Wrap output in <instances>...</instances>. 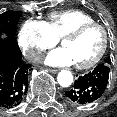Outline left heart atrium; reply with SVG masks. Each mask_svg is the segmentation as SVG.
Segmentation results:
<instances>
[{"instance_id":"1","label":"left heart atrium","mask_w":117,"mask_h":117,"mask_svg":"<svg viewBox=\"0 0 117 117\" xmlns=\"http://www.w3.org/2000/svg\"><path fill=\"white\" fill-rule=\"evenodd\" d=\"M45 62L52 66H66L74 64V60L70 52L65 47L56 49L49 53Z\"/></svg>"}]
</instances>
